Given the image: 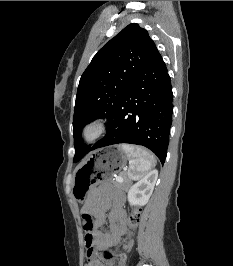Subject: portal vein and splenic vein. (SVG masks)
I'll list each match as a JSON object with an SVG mask.
<instances>
[{
	"instance_id": "obj_1",
	"label": "portal vein and splenic vein",
	"mask_w": 233,
	"mask_h": 266,
	"mask_svg": "<svg viewBox=\"0 0 233 266\" xmlns=\"http://www.w3.org/2000/svg\"><path fill=\"white\" fill-rule=\"evenodd\" d=\"M116 181L122 182L123 181V178L121 176H116Z\"/></svg>"
}]
</instances>
